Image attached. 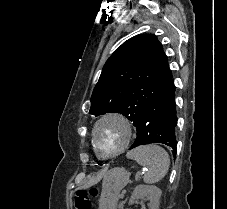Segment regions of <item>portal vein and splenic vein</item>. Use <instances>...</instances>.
<instances>
[{
  "label": "portal vein and splenic vein",
  "mask_w": 227,
  "mask_h": 209,
  "mask_svg": "<svg viewBox=\"0 0 227 209\" xmlns=\"http://www.w3.org/2000/svg\"><path fill=\"white\" fill-rule=\"evenodd\" d=\"M127 191H128L127 189L126 190L124 189L122 192L125 194ZM123 193H120L119 194V198L120 199H123L124 198L125 195Z\"/></svg>",
  "instance_id": "portal-vein-and-splenic-vein-1"
}]
</instances>
